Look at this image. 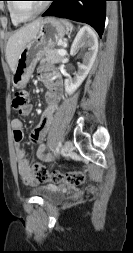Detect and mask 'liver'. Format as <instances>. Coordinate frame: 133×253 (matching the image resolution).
I'll use <instances>...</instances> for the list:
<instances>
[{
    "label": "liver",
    "instance_id": "6515ba94",
    "mask_svg": "<svg viewBox=\"0 0 133 253\" xmlns=\"http://www.w3.org/2000/svg\"><path fill=\"white\" fill-rule=\"evenodd\" d=\"M42 19H37L17 30L8 40L6 59L11 71L15 70L17 60L24 47L37 35Z\"/></svg>",
    "mask_w": 133,
    "mask_h": 253
}]
</instances>
